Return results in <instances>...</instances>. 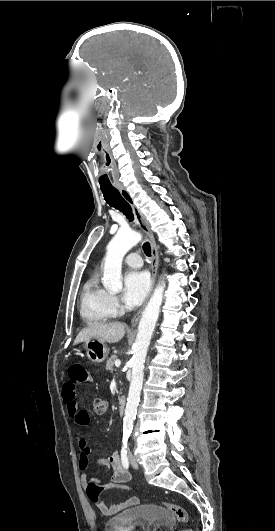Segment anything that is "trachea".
<instances>
[{
	"instance_id": "trachea-1",
	"label": "trachea",
	"mask_w": 275,
	"mask_h": 531,
	"mask_svg": "<svg viewBox=\"0 0 275 531\" xmlns=\"http://www.w3.org/2000/svg\"><path fill=\"white\" fill-rule=\"evenodd\" d=\"M101 191L104 195L106 203H108L113 208L122 211V213H124L130 221H133L132 209L128 202L121 196L119 190L116 187L103 186L101 187ZM143 251L146 256H151V246L148 242H145L143 244Z\"/></svg>"
}]
</instances>
